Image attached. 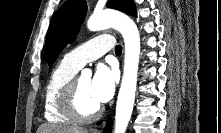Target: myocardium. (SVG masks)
<instances>
[{
  "instance_id": "obj_1",
  "label": "myocardium",
  "mask_w": 221,
  "mask_h": 133,
  "mask_svg": "<svg viewBox=\"0 0 221 133\" xmlns=\"http://www.w3.org/2000/svg\"><path fill=\"white\" fill-rule=\"evenodd\" d=\"M80 77L72 78L60 91L58 104L61 112L74 122L87 123L97 119L102 113V106L90 113L83 114L78 106V85Z\"/></svg>"
}]
</instances>
